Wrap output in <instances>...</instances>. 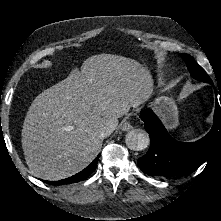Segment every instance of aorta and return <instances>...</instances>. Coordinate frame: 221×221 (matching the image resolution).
<instances>
[{"label":"aorta","mask_w":221,"mask_h":221,"mask_svg":"<svg viewBox=\"0 0 221 221\" xmlns=\"http://www.w3.org/2000/svg\"><path fill=\"white\" fill-rule=\"evenodd\" d=\"M150 142L149 134L143 129H134L127 132L125 143L129 149L144 150Z\"/></svg>","instance_id":"aorta-1"}]
</instances>
